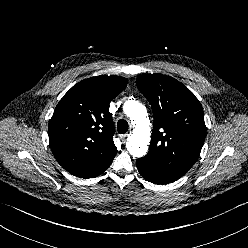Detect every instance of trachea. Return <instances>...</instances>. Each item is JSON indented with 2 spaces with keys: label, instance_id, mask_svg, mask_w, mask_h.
Masks as SVG:
<instances>
[{
  "label": "trachea",
  "instance_id": "trachea-1",
  "mask_svg": "<svg viewBox=\"0 0 248 248\" xmlns=\"http://www.w3.org/2000/svg\"><path fill=\"white\" fill-rule=\"evenodd\" d=\"M129 125L128 122L124 119H120L117 123V130L119 134H124L128 131Z\"/></svg>",
  "mask_w": 248,
  "mask_h": 248
}]
</instances>
